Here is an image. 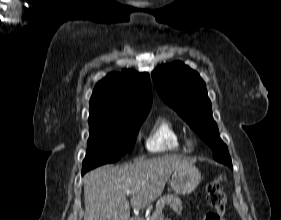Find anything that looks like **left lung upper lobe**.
I'll return each mask as SVG.
<instances>
[{
    "label": "left lung upper lobe",
    "instance_id": "5c2ea615",
    "mask_svg": "<svg viewBox=\"0 0 281 220\" xmlns=\"http://www.w3.org/2000/svg\"><path fill=\"white\" fill-rule=\"evenodd\" d=\"M152 78L160 97L211 147L213 158L232 168L227 146L212 118L205 83L199 74L175 61L156 68Z\"/></svg>",
    "mask_w": 281,
    "mask_h": 220
}]
</instances>
